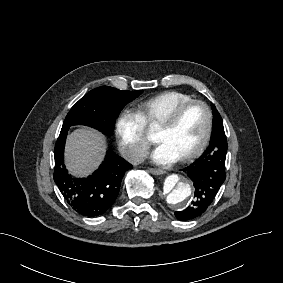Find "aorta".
Segmentation results:
<instances>
[{"label":"aorta","mask_w":283,"mask_h":283,"mask_svg":"<svg viewBox=\"0 0 283 283\" xmlns=\"http://www.w3.org/2000/svg\"><path fill=\"white\" fill-rule=\"evenodd\" d=\"M161 197L169 206L184 209L193 199L191 181L182 174L168 175L163 182Z\"/></svg>","instance_id":"1"}]
</instances>
